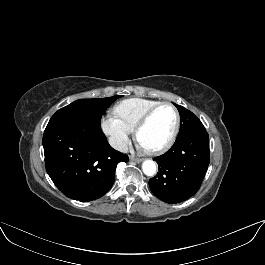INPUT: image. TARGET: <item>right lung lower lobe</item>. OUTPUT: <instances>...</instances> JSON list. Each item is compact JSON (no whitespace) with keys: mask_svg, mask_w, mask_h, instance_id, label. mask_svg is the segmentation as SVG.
<instances>
[{"mask_svg":"<svg viewBox=\"0 0 265 265\" xmlns=\"http://www.w3.org/2000/svg\"><path fill=\"white\" fill-rule=\"evenodd\" d=\"M45 166L67 197L91 201L113 185L119 162L127 155L113 149L100 127L69 119L49 121L43 135Z\"/></svg>","mask_w":265,"mask_h":265,"instance_id":"right-lung-lower-lobe-1","label":"right lung lower lobe"}]
</instances>
